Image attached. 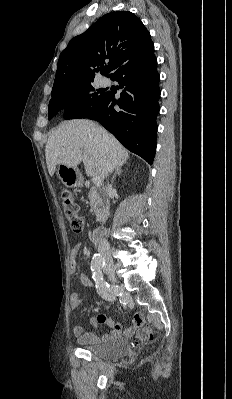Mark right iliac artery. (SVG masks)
Masks as SVG:
<instances>
[{
  "label": "right iliac artery",
  "mask_w": 232,
  "mask_h": 399,
  "mask_svg": "<svg viewBox=\"0 0 232 399\" xmlns=\"http://www.w3.org/2000/svg\"><path fill=\"white\" fill-rule=\"evenodd\" d=\"M105 266V258L102 255H93L91 259L92 278L95 282L96 292L106 298L115 299L114 295L108 294L109 284L104 280L102 275V268Z\"/></svg>",
  "instance_id": "82829eb1"
}]
</instances>
